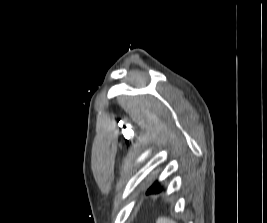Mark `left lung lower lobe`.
Listing matches in <instances>:
<instances>
[{
    "instance_id": "left-lung-lower-lobe-1",
    "label": "left lung lower lobe",
    "mask_w": 267,
    "mask_h": 223,
    "mask_svg": "<svg viewBox=\"0 0 267 223\" xmlns=\"http://www.w3.org/2000/svg\"><path fill=\"white\" fill-rule=\"evenodd\" d=\"M176 183L171 182V177H160V182H155L147 191L150 195H157V192L167 190L168 187H175ZM161 187V188H160Z\"/></svg>"
}]
</instances>
